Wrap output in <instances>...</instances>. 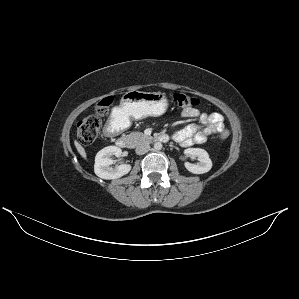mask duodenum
I'll return each instance as SVG.
<instances>
[{
    "label": "duodenum",
    "mask_w": 299,
    "mask_h": 299,
    "mask_svg": "<svg viewBox=\"0 0 299 299\" xmlns=\"http://www.w3.org/2000/svg\"><path fill=\"white\" fill-rule=\"evenodd\" d=\"M118 131V124L115 119H111L105 127V135L112 136ZM169 140L168 136L165 134H160L155 138V141L165 143ZM117 144L119 147L126 148L129 146V139L126 137H119L117 139Z\"/></svg>",
    "instance_id": "duodenum-1"
}]
</instances>
